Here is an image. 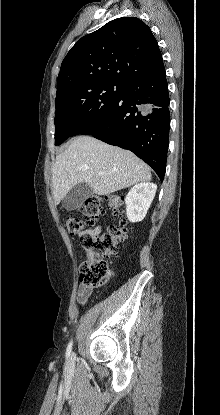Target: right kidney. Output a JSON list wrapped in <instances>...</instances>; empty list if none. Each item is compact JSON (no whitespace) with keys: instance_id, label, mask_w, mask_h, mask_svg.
Listing matches in <instances>:
<instances>
[{"instance_id":"right-kidney-1","label":"right kidney","mask_w":220,"mask_h":415,"mask_svg":"<svg viewBox=\"0 0 220 415\" xmlns=\"http://www.w3.org/2000/svg\"><path fill=\"white\" fill-rule=\"evenodd\" d=\"M157 186L153 183H139L131 188L125 198L126 214L130 222L144 219L154 199Z\"/></svg>"}]
</instances>
